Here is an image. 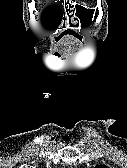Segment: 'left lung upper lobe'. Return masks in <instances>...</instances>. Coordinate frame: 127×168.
Masks as SVG:
<instances>
[{
	"instance_id": "obj_1",
	"label": "left lung upper lobe",
	"mask_w": 127,
	"mask_h": 168,
	"mask_svg": "<svg viewBox=\"0 0 127 168\" xmlns=\"http://www.w3.org/2000/svg\"><path fill=\"white\" fill-rule=\"evenodd\" d=\"M95 168H107V166H105V165H98Z\"/></svg>"
}]
</instances>
